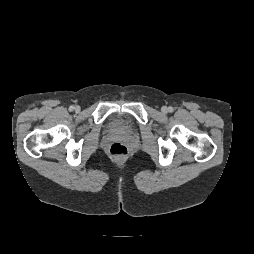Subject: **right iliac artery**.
Wrapping results in <instances>:
<instances>
[{"instance_id": "82829eb1", "label": "right iliac artery", "mask_w": 254, "mask_h": 254, "mask_svg": "<svg viewBox=\"0 0 254 254\" xmlns=\"http://www.w3.org/2000/svg\"><path fill=\"white\" fill-rule=\"evenodd\" d=\"M74 108H75V107L72 105V106L69 107V110H70V111H73Z\"/></svg>"}]
</instances>
